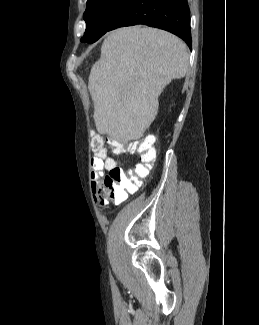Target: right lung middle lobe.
<instances>
[{
    "label": "right lung middle lobe",
    "mask_w": 259,
    "mask_h": 325,
    "mask_svg": "<svg viewBox=\"0 0 259 325\" xmlns=\"http://www.w3.org/2000/svg\"><path fill=\"white\" fill-rule=\"evenodd\" d=\"M129 0H88L84 20L86 30L81 42L93 43L104 35Z\"/></svg>",
    "instance_id": "1"
}]
</instances>
